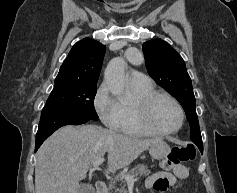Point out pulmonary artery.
<instances>
[{"label": "pulmonary artery", "instance_id": "e3ab8cb5", "mask_svg": "<svg viewBox=\"0 0 237 193\" xmlns=\"http://www.w3.org/2000/svg\"><path fill=\"white\" fill-rule=\"evenodd\" d=\"M129 81L135 86H147L152 84V80L141 72H132L129 75Z\"/></svg>", "mask_w": 237, "mask_h": 193}]
</instances>
